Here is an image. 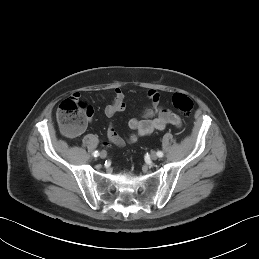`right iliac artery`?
Masks as SVG:
<instances>
[{
    "instance_id": "82829eb1",
    "label": "right iliac artery",
    "mask_w": 259,
    "mask_h": 259,
    "mask_svg": "<svg viewBox=\"0 0 259 259\" xmlns=\"http://www.w3.org/2000/svg\"><path fill=\"white\" fill-rule=\"evenodd\" d=\"M93 156H94V157L99 156V152H98V151L93 152Z\"/></svg>"
}]
</instances>
